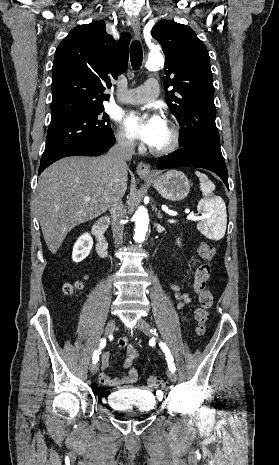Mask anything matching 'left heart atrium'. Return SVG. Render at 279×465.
Wrapping results in <instances>:
<instances>
[{
    "instance_id": "obj_1",
    "label": "left heart atrium",
    "mask_w": 279,
    "mask_h": 465,
    "mask_svg": "<svg viewBox=\"0 0 279 465\" xmlns=\"http://www.w3.org/2000/svg\"><path fill=\"white\" fill-rule=\"evenodd\" d=\"M164 124L163 119L157 114H153L149 118L132 114L125 119V126L129 134L148 145L152 144Z\"/></svg>"
}]
</instances>
